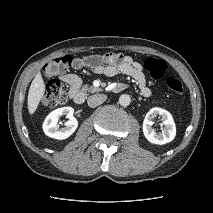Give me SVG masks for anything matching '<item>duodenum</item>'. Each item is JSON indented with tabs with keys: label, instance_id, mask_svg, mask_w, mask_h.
I'll list each match as a JSON object with an SVG mask.
<instances>
[{
	"label": "duodenum",
	"instance_id": "1",
	"mask_svg": "<svg viewBox=\"0 0 213 213\" xmlns=\"http://www.w3.org/2000/svg\"><path fill=\"white\" fill-rule=\"evenodd\" d=\"M127 88V85L124 84V83H118L116 85H114L112 88H111V91L114 92V93H119V92H122L124 91L125 89ZM92 93H97L98 91L97 90H92L91 91ZM89 95V92L88 91H85V90H79L78 92L75 93V95L73 96V100L75 103L77 104H82L85 102L87 96Z\"/></svg>",
	"mask_w": 213,
	"mask_h": 213
}]
</instances>
